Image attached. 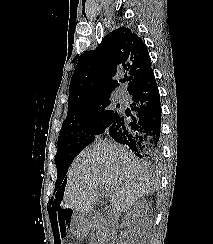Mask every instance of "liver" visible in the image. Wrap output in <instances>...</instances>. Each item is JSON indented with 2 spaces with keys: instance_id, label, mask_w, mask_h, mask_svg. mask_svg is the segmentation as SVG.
Listing matches in <instances>:
<instances>
[{
  "instance_id": "1",
  "label": "liver",
  "mask_w": 213,
  "mask_h": 244,
  "mask_svg": "<svg viewBox=\"0 0 213 244\" xmlns=\"http://www.w3.org/2000/svg\"><path fill=\"white\" fill-rule=\"evenodd\" d=\"M157 178L151 169L123 147L99 142L74 160L63 195V207L82 217L92 212L101 190L111 199L115 219L140 198L154 194Z\"/></svg>"
}]
</instances>
